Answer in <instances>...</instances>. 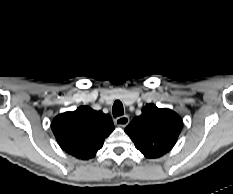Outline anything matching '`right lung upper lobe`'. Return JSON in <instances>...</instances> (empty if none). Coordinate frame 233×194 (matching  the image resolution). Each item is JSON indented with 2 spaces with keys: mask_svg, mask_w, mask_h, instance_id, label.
Instances as JSON below:
<instances>
[{
  "mask_svg": "<svg viewBox=\"0 0 233 194\" xmlns=\"http://www.w3.org/2000/svg\"><path fill=\"white\" fill-rule=\"evenodd\" d=\"M51 128L64 151L78 159H90L102 148L104 139L114 130V124L109 115L81 106L56 116Z\"/></svg>",
  "mask_w": 233,
  "mask_h": 194,
  "instance_id": "right-lung-upper-lobe-1",
  "label": "right lung upper lobe"
}]
</instances>
